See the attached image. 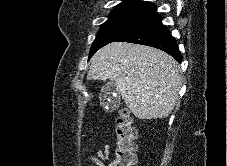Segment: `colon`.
Returning a JSON list of instances; mask_svg holds the SVG:
<instances>
[{"instance_id":"5ec220e1","label":"colon","mask_w":227,"mask_h":166,"mask_svg":"<svg viewBox=\"0 0 227 166\" xmlns=\"http://www.w3.org/2000/svg\"><path fill=\"white\" fill-rule=\"evenodd\" d=\"M116 150L109 166H134L136 132L130 114L124 110L115 123Z\"/></svg>"}]
</instances>
